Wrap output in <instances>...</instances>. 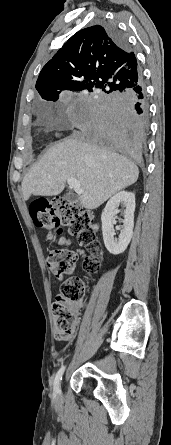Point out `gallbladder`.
Segmentation results:
<instances>
[{
  "instance_id": "bac80fb5",
  "label": "gallbladder",
  "mask_w": 171,
  "mask_h": 445,
  "mask_svg": "<svg viewBox=\"0 0 171 445\" xmlns=\"http://www.w3.org/2000/svg\"><path fill=\"white\" fill-rule=\"evenodd\" d=\"M64 199L67 200V201H71V200H72V197H71L69 194H66V195L64 196Z\"/></svg>"
}]
</instances>
